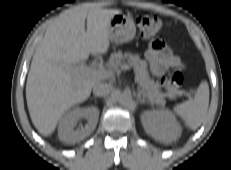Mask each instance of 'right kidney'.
Instances as JSON below:
<instances>
[{
  "label": "right kidney",
  "instance_id": "right-kidney-1",
  "mask_svg": "<svg viewBox=\"0 0 231 170\" xmlns=\"http://www.w3.org/2000/svg\"><path fill=\"white\" fill-rule=\"evenodd\" d=\"M80 118H85L87 120V124L84 127L75 129L76 123ZM98 118L99 110L97 107L74 108L68 112L59 123V139L69 144H74L83 140L94 131Z\"/></svg>",
  "mask_w": 231,
  "mask_h": 170
}]
</instances>
